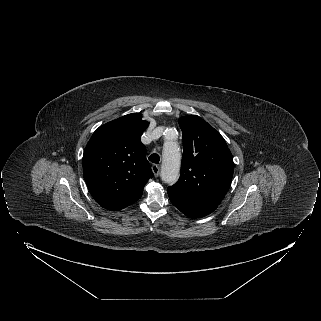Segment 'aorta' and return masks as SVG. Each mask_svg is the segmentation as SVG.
<instances>
[{
	"label": "aorta",
	"instance_id": "obj_1",
	"mask_svg": "<svg viewBox=\"0 0 321 321\" xmlns=\"http://www.w3.org/2000/svg\"><path fill=\"white\" fill-rule=\"evenodd\" d=\"M165 142L162 152L161 179L168 184H174L180 172L181 153L176 142L177 131L169 128L164 134Z\"/></svg>",
	"mask_w": 321,
	"mask_h": 321
}]
</instances>
